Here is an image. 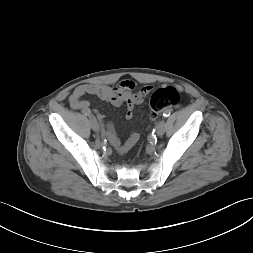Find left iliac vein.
<instances>
[{"instance_id": "left-iliac-vein-1", "label": "left iliac vein", "mask_w": 253, "mask_h": 253, "mask_svg": "<svg viewBox=\"0 0 253 253\" xmlns=\"http://www.w3.org/2000/svg\"><path fill=\"white\" fill-rule=\"evenodd\" d=\"M165 132V122L161 121L157 125V135L162 136Z\"/></svg>"}]
</instances>
